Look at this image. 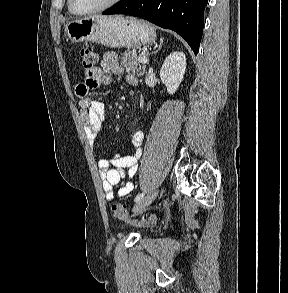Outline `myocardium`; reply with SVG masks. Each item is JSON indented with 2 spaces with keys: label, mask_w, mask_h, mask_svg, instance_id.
<instances>
[{
  "label": "myocardium",
  "mask_w": 288,
  "mask_h": 293,
  "mask_svg": "<svg viewBox=\"0 0 288 293\" xmlns=\"http://www.w3.org/2000/svg\"><path fill=\"white\" fill-rule=\"evenodd\" d=\"M120 1L121 0H109L107 3H105L99 7H96V8L90 9V10L80 11L74 7L73 0H68V7H69L70 12L75 15H89V14H94L97 12L104 11L108 8H111L114 5H116L117 3H119Z\"/></svg>",
  "instance_id": "myocardium-1"
}]
</instances>
